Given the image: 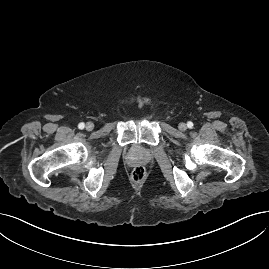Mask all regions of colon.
Masks as SVG:
<instances>
[{
  "instance_id": "obj_1",
  "label": "colon",
  "mask_w": 269,
  "mask_h": 269,
  "mask_svg": "<svg viewBox=\"0 0 269 269\" xmlns=\"http://www.w3.org/2000/svg\"><path fill=\"white\" fill-rule=\"evenodd\" d=\"M131 178L134 182H142L146 178V169L141 165L134 167Z\"/></svg>"
}]
</instances>
